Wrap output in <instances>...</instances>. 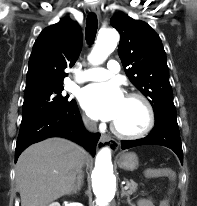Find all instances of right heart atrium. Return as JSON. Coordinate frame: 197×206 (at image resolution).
I'll return each instance as SVG.
<instances>
[{
    "label": "right heart atrium",
    "instance_id": "d8ad5b80",
    "mask_svg": "<svg viewBox=\"0 0 197 206\" xmlns=\"http://www.w3.org/2000/svg\"><path fill=\"white\" fill-rule=\"evenodd\" d=\"M83 122L87 127H92L93 125V121L86 116L83 117Z\"/></svg>",
    "mask_w": 197,
    "mask_h": 206
}]
</instances>
